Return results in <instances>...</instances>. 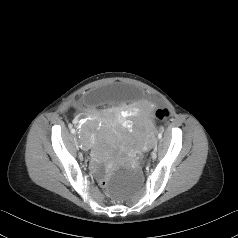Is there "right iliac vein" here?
I'll return each instance as SVG.
<instances>
[{"label":"right iliac vein","mask_w":238,"mask_h":238,"mask_svg":"<svg viewBox=\"0 0 238 238\" xmlns=\"http://www.w3.org/2000/svg\"><path fill=\"white\" fill-rule=\"evenodd\" d=\"M73 144L75 145V148H76L77 152H80V148H79V145L76 141V138H73Z\"/></svg>","instance_id":"right-iliac-vein-1"}]
</instances>
